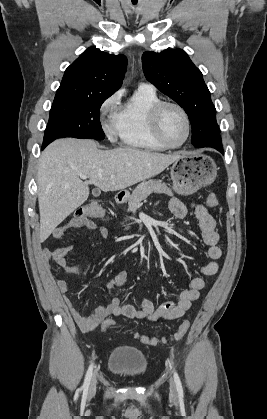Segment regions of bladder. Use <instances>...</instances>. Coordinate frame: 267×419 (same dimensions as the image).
<instances>
[{"label": "bladder", "instance_id": "bladder-1", "mask_svg": "<svg viewBox=\"0 0 267 419\" xmlns=\"http://www.w3.org/2000/svg\"><path fill=\"white\" fill-rule=\"evenodd\" d=\"M107 366L109 372L113 375L137 379L147 372L149 362L142 351L134 347L121 345L111 351Z\"/></svg>", "mask_w": 267, "mask_h": 419}]
</instances>
